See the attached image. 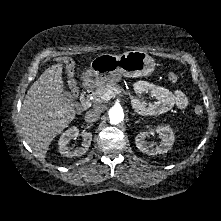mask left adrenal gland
Here are the masks:
<instances>
[{
  "mask_svg": "<svg viewBox=\"0 0 221 221\" xmlns=\"http://www.w3.org/2000/svg\"><path fill=\"white\" fill-rule=\"evenodd\" d=\"M133 116H135V115H137V114H135V113H131Z\"/></svg>",
  "mask_w": 221,
  "mask_h": 221,
  "instance_id": "1",
  "label": "left adrenal gland"
}]
</instances>
